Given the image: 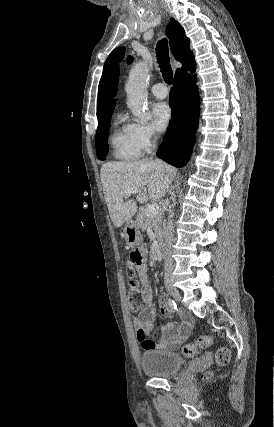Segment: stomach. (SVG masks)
Instances as JSON below:
<instances>
[{"instance_id": "obj_1", "label": "stomach", "mask_w": 274, "mask_h": 427, "mask_svg": "<svg viewBox=\"0 0 274 427\" xmlns=\"http://www.w3.org/2000/svg\"><path fill=\"white\" fill-rule=\"evenodd\" d=\"M125 241L127 245L133 247V245H140L142 243V235L139 231V227L136 221L128 219L124 229Z\"/></svg>"}]
</instances>
